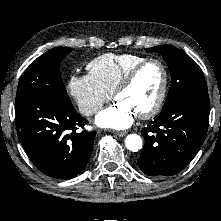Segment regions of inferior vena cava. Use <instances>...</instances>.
<instances>
[{"mask_svg": "<svg viewBox=\"0 0 221 221\" xmlns=\"http://www.w3.org/2000/svg\"><path fill=\"white\" fill-rule=\"evenodd\" d=\"M100 110V107L99 106H91V107H87L84 111V114L89 116V115H92L94 113H96L97 111Z\"/></svg>", "mask_w": 221, "mask_h": 221, "instance_id": "602c4592", "label": "inferior vena cava"}]
</instances>
